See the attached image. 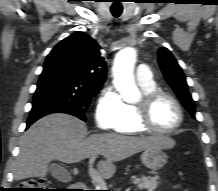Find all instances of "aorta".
I'll list each match as a JSON object with an SVG mask.
<instances>
[{"mask_svg": "<svg viewBox=\"0 0 218 191\" xmlns=\"http://www.w3.org/2000/svg\"><path fill=\"white\" fill-rule=\"evenodd\" d=\"M135 62V49L126 47L116 55L113 65L114 85L123 101L127 103L136 102L140 98L133 73Z\"/></svg>", "mask_w": 218, "mask_h": 191, "instance_id": "obj_1", "label": "aorta"}]
</instances>
